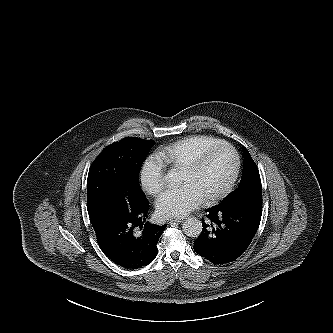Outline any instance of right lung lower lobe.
I'll return each instance as SVG.
<instances>
[{
  "instance_id": "98d812e1",
  "label": "right lung lower lobe",
  "mask_w": 333,
  "mask_h": 333,
  "mask_svg": "<svg viewBox=\"0 0 333 333\" xmlns=\"http://www.w3.org/2000/svg\"><path fill=\"white\" fill-rule=\"evenodd\" d=\"M148 210L149 203L127 212L117 210L90 219L100 248L117 265L137 269L157 256L156 245L166 224L146 222L143 226Z\"/></svg>"
}]
</instances>
